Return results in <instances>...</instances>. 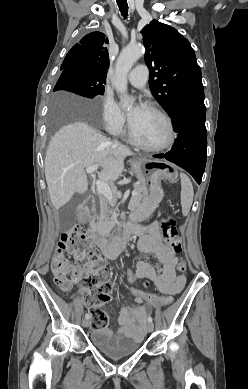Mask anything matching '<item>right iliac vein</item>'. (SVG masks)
I'll return each instance as SVG.
<instances>
[{
    "instance_id": "right-iliac-vein-1",
    "label": "right iliac vein",
    "mask_w": 248,
    "mask_h": 389,
    "mask_svg": "<svg viewBox=\"0 0 248 389\" xmlns=\"http://www.w3.org/2000/svg\"><path fill=\"white\" fill-rule=\"evenodd\" d=\"M90 324V321L89 319L85 318L83 321H82V325L83 327L87 328Z\"/></svg>"
}]
</instances>
